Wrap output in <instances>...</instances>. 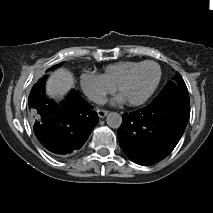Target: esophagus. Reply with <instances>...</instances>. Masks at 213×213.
Instances as JSON below:
<instances>
[{
  "label": "esophagus",
  "mask_w": 213,
  "mask_h": 213,
  "mask_svg": "<svg viewBox=\"0 0 213 213\" xmlns=\"http://www.w3.org/2000/svg\"><path fill=\"white\" fill-rule=\"evenodd\" d=\"M97 113H98V116L100 118H104L108 114V111L107 110L98 109Z\"/></svg>",
  "instance_id": "1"
}]
</instances>
